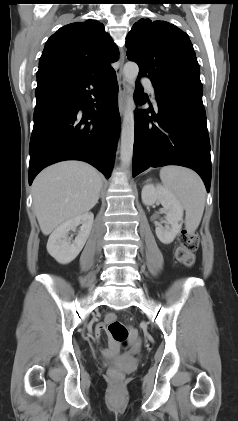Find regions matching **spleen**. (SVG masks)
I'll list each match as a JSON object with an SVG mask.
<instances>
[{
    "label": "spleen",
    "instance_id": "3e777b00",
    "mask_svg": "<svg viewBox=\"0 0 238 421\" xmlns=\"http://www.w3.org/2000/svg\"><path fill=\"white\" fill-rule=\"evenodd\" d=\"M160 178L168 191L173 193L185 209V225L194 231L203 216L206 191L201 178L194 171L180 166H164Z\"/></svg>",
    "mask_w": 238,
    "mask_h": 421
}]
</instances>
